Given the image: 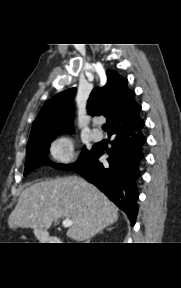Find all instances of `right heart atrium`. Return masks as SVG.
<instances>
[{
	"instance_id": "1",
	"label": "right heart atrium",
	"mask_w": 181,
	"mask_h": 288,
	"mask_svg": "<svg viewBox=\"0 0 181 288\" xmlns=\"http://www.w3.org/2000/svg\"><path fill=\"white\" fill-rule=\"evenodd\" d=\"M51 159L57 163L67 164L74 160V141L68 135L55 138L49 147Z\"/></svg>"
}]
</instances>
